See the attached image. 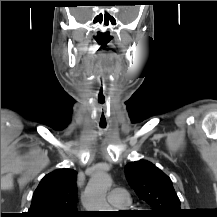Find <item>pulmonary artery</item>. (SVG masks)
Listing matches in <instances>:
<instances>
[{"label":"pulmonary artery","instance_id":"1","mask_svg":"<svg viewBox=\"0 0 217 217\" xmlns=\"http://www.w3.org/2000/svg\"><path fill=\"white\" fill-rule=\"evenodd\" d=\"M108 202L118 209H124L130 204V197L126 189L114 188L107 196Z\"/></svg>","mask_w":217,"mask_h":217}]
</instances>
